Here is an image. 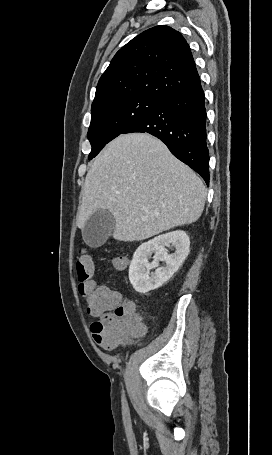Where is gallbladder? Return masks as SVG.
Instances as JSON below:
<instances>
[{"label":"gallbladder","mask_w":272,"mask_h":455,"mask_svg":"<svg viewBox=\"0 0 272 455\" xmlns=\"http://www.w3.org/2000/svg\"><path fill=\"white\" fill-rule=\"evenodd\" d=\"M114 227V216L108 210H99L85 222L82 236L87 245L99 247L109 238Z\"/></svg>","instance_id":"obj_1"}]
</instances>
